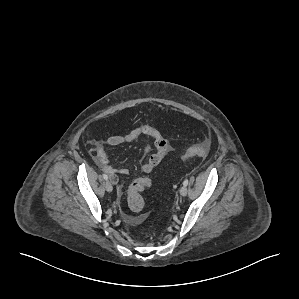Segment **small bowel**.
Listing matches in <instances>:
<instances>
[{
  "instance_id": "1",
  "label": "small bowel",
  "mask_w": 299,
  "mask_h": 299,
  "mask_svg": "<svg viewBox=\"0 0 299 299\" xmlns=\"http://www.w3.org/2000/svg\"><path fill=\"white\" fill-rule=\"evenodd\" d=\"M141 137L146 139L143 150L146 159L143 161L141 169L145 173H150L169 152V145L158 130L149 125H142L134 128L125 135L110 136L106 139L105 143L109 146H118L134 142ZM93 159L96 164L110 175L113 183L118 182L117 174L126 175L129 173L127 168L112 167L110 160L102 147H97L94 150Z\"/></svg>"
}]
</instances>
